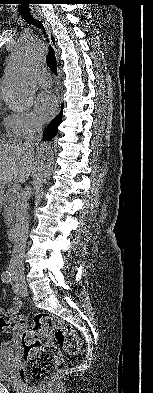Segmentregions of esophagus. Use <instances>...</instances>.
<instances>
[{
  "mask_svg": "<svg viewBox=\"0 0 153 393\" xmlns=\"http://www.w3.org/2000/svg\"><path fill=\"white\" fill-rule=\"evenodd\" d=\"M43 25L48 33L49 39H50V43L53 47V49L55 50L56 54L58 53V47H57V43H56V38L52 32V29L50 27V25L46 22H43Z\"/></svg>",
  "mask_w": 153,
  "mask_h": 393,
  "instance_id": "esophagus-1",
  "label": "esophagus"
}]
</instances>
